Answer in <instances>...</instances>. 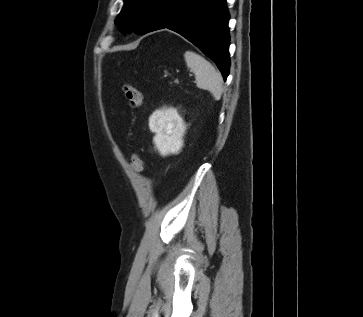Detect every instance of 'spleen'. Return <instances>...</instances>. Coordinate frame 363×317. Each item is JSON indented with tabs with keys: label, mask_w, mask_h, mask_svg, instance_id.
Returning a JSON list of instances; mask_svg holds the SVG:
<instances>
[{
	"label": "spleen",
	"mask_w": 363,
	"mask_h": 317,
	"mask_svg": "<svg viewBox=\"0 0 363 317\" xmlns=\"http://www.w3.org/2000/svg\"><path fill=\"white\" fill-rule=\"evenodd\" d=\"M184 58L187 67L195 74L197 87L210 91L216 99H219L223 91L221 73L209 61L195 52L186 51Z\"/></svg>",
	"instance_id": "obj_1"
}]
</instances>
